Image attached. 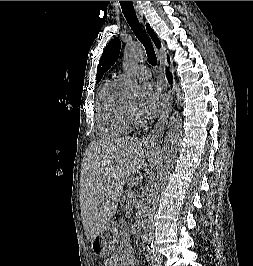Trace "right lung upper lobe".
I'll return each instance as SVG.
<instances>
[{"label": "right lung upper lobe", "instance_id": "obj_1", "mask_svg": "<svg viewBox=\"0 0 253 266\" xmlns=\"http://www.w3.org/2000/svg\"><path fill=\"white\" fill-rule=\"evenodd\" d=\"M147 31L149 33V35L151 36L153 42L155 43L157 48L161 47V43L159 41V39L157 38V36L155 35L154 31L150 28L149 24L146 25Z\"/></svg>", "mask_w": 253, "mask_h": 266}]
</instances>
